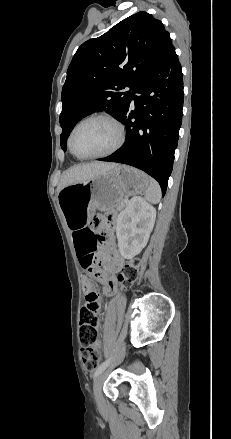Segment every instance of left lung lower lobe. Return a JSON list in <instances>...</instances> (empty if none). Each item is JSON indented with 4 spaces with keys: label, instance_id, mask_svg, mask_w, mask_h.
Masks as SVG:
<instances>
[{
    "label": "left lung lower lobe",
    "instance_id": "obj_1",
    "mask_svg": "<svg viewBox=\"0 0 231 439\" xmlns=\"http://www.w3.org/2000/svg\"><path fill=\"white\" fill-rule=\"evenodd\" d=\"M183 97L181 65L172 46L132 91L119 119L126 127L125 144L100 160L143 170L158 181L164 195L178 144Z\"/></svg>",
    "mask_w": 231,
    "mask_h": 439
}]
</instances>
